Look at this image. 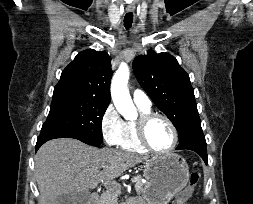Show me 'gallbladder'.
<instances>
[{
	"label": "gallbladder",
	"mask_w": 253,
	"mask_h": 204,
	"mask_svg": "<svg viewBox=\"0 0 253 204\" xmlns=\"http://www.w3.org/2000/svg\"><path fill=\"white\" fill-rule=\"evenodd\" d=\"M90 194L88 191L73 193L69 192L57 196L58 204H86Z\"/></svg>",
	"instance_id": "gallbladder-1"
}]
</instances>
